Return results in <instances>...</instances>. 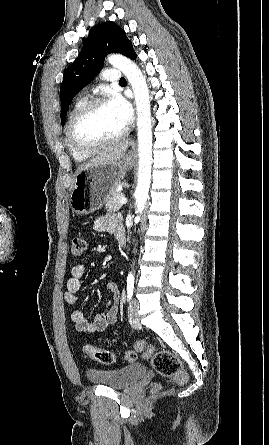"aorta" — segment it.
I'll list each match as a JSON object with an SVG mask.
<instances>
[{
	"instance_id": "obj_1",
	"label": "aorta",
	"mask_w": 269,
	"mask_h": 445,
	"mask_svg": "<svg viewBox=\"0 0 269 445\" xmlns=\"http://www.w3.org/2000/svg\"><path fill=\"white\" fill-rule=\"evenodd\" d=\"M107 61L123 72L132 86L137 110V136H138V181L135 191L136 208L142 213L148 199L151 182L152 165V125L149 100V90L142 72L130 59L113 54Z\"/></svg>"
}]
</instances>
